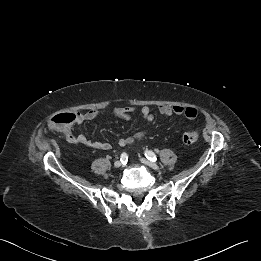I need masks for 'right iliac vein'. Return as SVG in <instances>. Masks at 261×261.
I'll list each match as a JSON object with an SVG mask.
<instances>
[{
    "label": "right iliac vein",
    "mask_w": 261,
    "mask_h": 261,
    "mask_svg": "<svg viewBox=\"0 0 261 261\" xmlns=\"http://www.w3.org/2000/svg\"><path fill=\"white\" fill-rule=\"evenodd\" d=\"M121 166H122V162L121 161L117 160V161L114 162V167L119 168Z\"/></svg>",
    "instance_id": "obj_1"
}]
</instances>
